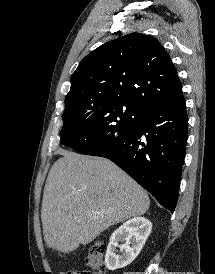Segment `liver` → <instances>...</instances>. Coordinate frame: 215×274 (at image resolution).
<instances>
[{"instance_id": "obj_1", "label": "liver", "mask_w": 215, "mask_h": 274, "mask_svg": "<svg viewBox=\"0 0 215 274\" xmlns=\"http://www.w3.org/2000/svg\"><path fill=\"white\" fill-rule=\"evenodd\" d=\"M44 187L41 219L48 248L68 253L108 227L149 209L146 192L110 160L60 150Z\"/></svg>"}]
</instances>
